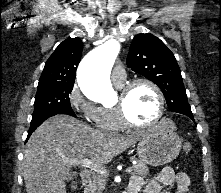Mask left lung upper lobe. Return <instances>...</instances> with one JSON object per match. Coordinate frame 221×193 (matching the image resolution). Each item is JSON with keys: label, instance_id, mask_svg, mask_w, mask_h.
<instances>
[{"label": "left lung upper lobe", "instance_id": "obj_1", "mask_svg": "<svg viewBox=\"0 0 221 193\" xmlns=\"http://www.w3.org/2000/svg\"><path fill=\"white\" fill-rule=\"evenodd\" d=\"M127 65L160 87L170 111L192 114L178 63L159 38L149 33L137 34L130 46Z\"/></svg>", "mask_w": 221, "mask_h": 193}]
</instances>
